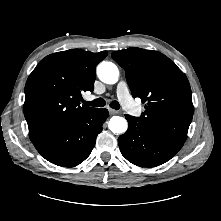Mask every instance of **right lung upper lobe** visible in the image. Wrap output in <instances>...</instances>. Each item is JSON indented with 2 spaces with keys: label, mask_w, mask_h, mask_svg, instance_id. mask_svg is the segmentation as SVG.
<instances>
[{
  "label": "right lung upper lobe",
  "mask_w": 221,
  "mask_h": 221,
  "mask_svg": "<svg viewBox=\"0 0 221 221\" xmlns=\"http://www.w3.org/2000/svg\"><path fill=\"white\" fill-rule=\"evenodd\" d=\"M108 52L80 49L53 53L42 59L25 85L24 116L32 142L58 134L79 117L97 110L81 106L82 93L94 90L96 65Z\"/></svg>",
  "instance_id": "right-lung-upper-lobe-1"
}]
</instances>
